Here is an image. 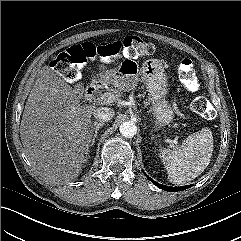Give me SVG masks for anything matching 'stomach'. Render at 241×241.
<instances>
[{
  "instance_id": "obj_1",
  "label": "stomach",
  "mask_w": 241,
  "mask_h": 241,
  "mask_svg": "<svg viewBox=\"0 0 241 241\" xmlns=\"http://www.w3.org/2000/svg\"><path fill=\"white\" fill-rule=\"evenodd\" d=\"M112 77L114 83L121 89L133 87L138 80L145 84L156 126L167 125L173 120V110L165 100L168 86L167 77L159 61L146 60L139 67L136 61L124 60L119 68L113 72Z\"/></svg>"
}]
</instances>
